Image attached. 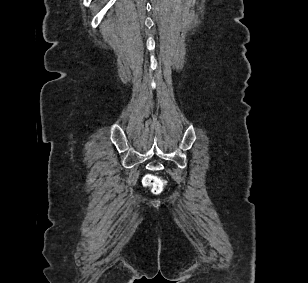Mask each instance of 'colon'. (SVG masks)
<instances>
[{
    "mask_svg": "<svg viewBox=\"0 0 308 283\" xmlns=\"http://www.w3.org/2000/svg\"><path fill=\"white\" fill-rule=\"evenodd\" d=\"M143 183L146 187H149L154 193H160L164 187L163 181L154 175L145 176Z\"/></svg>",
    "mask_w": 308,
    "mask_h": 283,
    "instance_id": "5ec220e1",
    "label": "colon"
}]
</instances>
